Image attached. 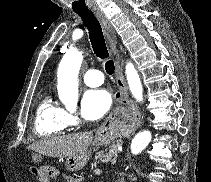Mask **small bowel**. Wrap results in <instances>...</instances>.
<instances>
[{
  "label": "small bowel",
  "mask_w": 211,
  "mask_h": 182,
  "mask_svg": "<svg viewBox=\"0 0 211 182\" xmlns=\"http://www.w3.org/2000/svg\"><path fill=\"white\" fill-rule=\"evenodd\" d=\"M66 180L67 182H81V180L76 177H67Z\"/></svg>",
  "instance_id": "obj_1"
}]
</instances>
